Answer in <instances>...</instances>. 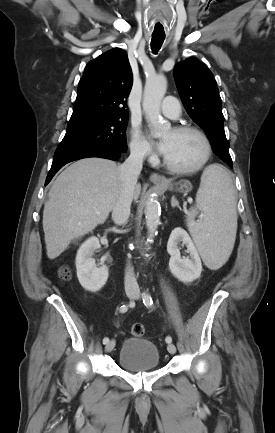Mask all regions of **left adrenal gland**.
Wrapping results in <instances>:
<instances>
[{
    "label": "left adrenal gland",
    "mask_w": 275,
    "mask_h": 433,
    "mask_svg": "<svg viewBox=\"0 0 275 433\" xmlns=\"http://www.w3.org/2000/svg\"><path fill=\"white\" fill-rule=\"evenodd\" d=\"M171 206L173 208L178 207L181 210V208L179 206V202L177 201V199L175 198V196H172V198H171Z\"/></svg>",
    "instance_id": "obj_1"
}]
</instances>
